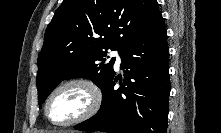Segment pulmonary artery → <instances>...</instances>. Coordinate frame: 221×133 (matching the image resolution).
<instances>
[{
  "instance_id": "1",
  "label": "pulmonary artery",
  "mask_w": 221,
  "mask_h": 133,
  "mask_svg": "<svg viewBox=\"0 0 221 133\" xmlns=\"http://www.w3.org/2000/svg\"><path fill=\"white\" fill-rule=\"evenodd\" d=\"M111 56L115 57V65L118 68L121 65V56L118 51L111 52Z\"/></svg>"
}]
</instances>
